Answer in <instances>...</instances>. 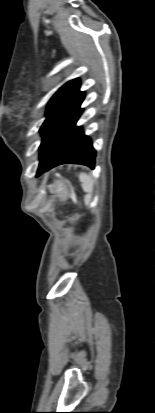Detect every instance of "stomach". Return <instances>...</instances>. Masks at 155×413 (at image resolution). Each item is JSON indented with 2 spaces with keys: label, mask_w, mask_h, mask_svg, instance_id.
<instances>
[{
  "label": "stomach",
  "mask_w": 155,
  "mask_h": 413,
  "mask_svg": "<svg viewBox=\"0 0 155 413\" xmlns=\"http://www.w3.org/2000/svg\"><path fill=\"white\" fill-rule=\"evenodd\" d=\"M52 193H55L61 200H65L68 197V190L65 184L61 181H55L50 186Z\"/></svg>",
  "instance_id": "obj_1"
}]
</instances>
